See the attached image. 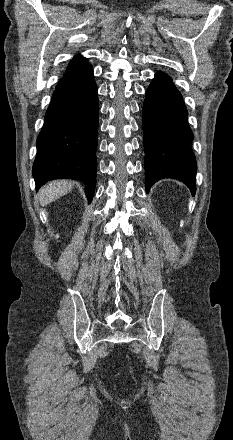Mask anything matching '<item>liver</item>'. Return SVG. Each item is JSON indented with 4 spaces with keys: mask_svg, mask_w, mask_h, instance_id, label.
I'll list each match as a JSON object with an SVG mask.
<instances>
[{
    "mask_svg": "<svg viewBox=\"0 0 233 440\" xmlns=\"http://www.w3.org/2000/svg\"><path fill=\"white\" fill-rule=\"evenodd\" d=\"M74 183L68 180L51 181L39 191V200L42 206L47 205L56 199L67 194Z\"/></svg>",
    "mask_w": 233,
    "mask_h": 440,
    "instance_id": "liver-1",
    "label": "liver"
}]
</instances>
